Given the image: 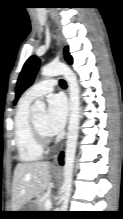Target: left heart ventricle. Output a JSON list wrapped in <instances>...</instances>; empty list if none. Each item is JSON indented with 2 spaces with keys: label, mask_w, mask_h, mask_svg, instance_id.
Listing matches in <instances>:
<instances>
[{
  "label": "left heart ventricle",
  "mask_w": 123,
  "mask_h": 219,
  "mask_svg": "<svg viewBox=\"0 0 123 219\" xmlns=\"http://www.w3.org/2000/svg\"><path fill=\"white\" fill-rule=\"evenodd\" d=\"M37 125L46 133L50 134L47 130L46 127V114L45 113H41L37 116L34 117Z\"/></svg>",
  "instance_id": "obj_1"
}]
</instances>
